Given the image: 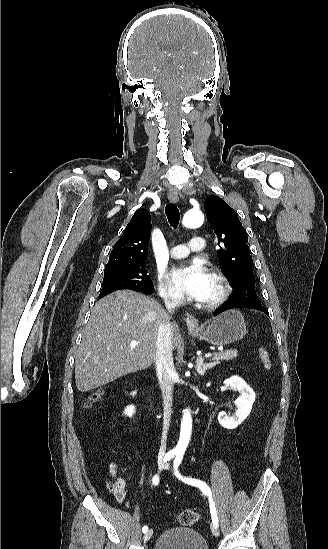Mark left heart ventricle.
I'll return each mask as SVG.
<instances>
[{
    "instance_id": "1",
    "label": "left heart ventricle",
    "mask_w": 328,
    "mask_h": 549,
    "mask_svg": "<svg viewBox=\"0 0 328 549\" xmlns=\"http://www.w3.org/2000/svg\"><path fill=\"white\" fill-rule=\"evenodd\" d=\"M204 269L208 270L207 266L206 265H201ZM219 291V284L218 282L211 276L210 277V283H209V287H208V290H207V294L205 296V298L202 300V301H208V300H211L212 298H214L217 293Z\"/></svg>"
}]
</instances>
